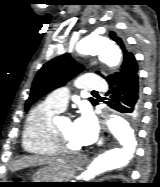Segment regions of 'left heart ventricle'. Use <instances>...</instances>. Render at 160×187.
Masks as SVG:
<instances>
[{
	"label": "left heart ventricle",
	"mask_w": 160,
	"mask_h": 187,
	"mask_svg": "<svg viewBox=\"0 0 160 187\" xmlns=\"http://www.w3.org/2000/svg\"><path fill=\"white\" fill-rule=\"evenodd\" d=\"M58 126L65 138V142L69 145L71 149L81 148V145L77 142L74 132L73 123L69 119H62L58 121Z\"/></svg>",
	"instance_id": "b2bd125f"
}]
</instances>
